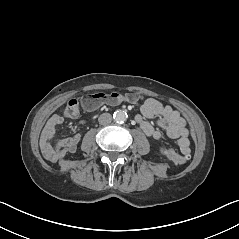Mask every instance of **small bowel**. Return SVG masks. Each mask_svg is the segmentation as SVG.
Returning a JSON list of instances; mask_svg holds the SVG:
<instances>
[{
	"instance_id": "obj_1",
	"label": "small bowel",
	"mask_w": 239,
	"mask_h": 239,
	"mask_svg": "<svg viewBox=\"0 0 239 239\" xmlns=\"http://www.w3.org/2000/svg\"><path fill=\"white\" fill-rule=\"evenodd\" d=\"M95 108L97 107H86L85 109L94 110ZM140 112L141 114L136 117V121L148 137L159 140L162 137V132L159 129L161 128L166 131L168 137L177 140L179 150L183 155L187 156L190 153V134L186 127V121L178 110L163 105L156 99L148 98L143 101ZM155 117H159L157 126L148 120ZM63 122V116L53 115L45 124L40 136L41 151L50 162H57L66 154L75 152L80 142V135L74 134L53 143L56 129ZM79 125H83V121H80Z\"/></svg>"
}]
</instances>
